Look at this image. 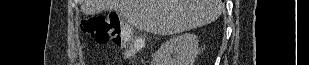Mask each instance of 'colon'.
<instances>
[{
    "label": "colon",
    "mask_w": 309,
    "mask_h": 65,
    "mask_svg": "<svg viewBox=\"0 0 309 65\" xmlns=\"http://www.w3.org/2000/svg\"><path fill=\"white\" fill-rule=\"evenodd\" d=\"M80 29L84 35L100 45L112 43L122 50L126 57L135 55L142 48L141 41L133 35L131 29L120 24L112 15L85 17L81 20Z\"/></svg>",
    "instance_id": "1"
}]
</instances>
